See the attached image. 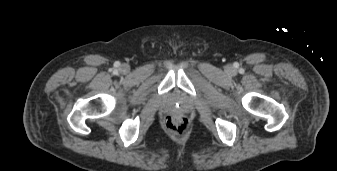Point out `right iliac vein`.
Here are the masks:
<instances>
[{
  "mask_svg": "<svg viewBox=\"0 0 337 171\" xmlns=\"http://www.w3.org/2000/svg\"><path fill=\"white\" fill-rule=\"evenodd\" d=\"M120 71L123 73H127L129 71V67L125 64L121 65Z\"/></svg>",
  "mask_w": 337,
  "mask_h": 171,
  "instance_id": "1",
  "label": "right iliac vein"
}]
</instances>
